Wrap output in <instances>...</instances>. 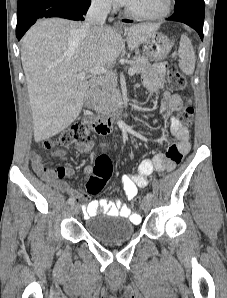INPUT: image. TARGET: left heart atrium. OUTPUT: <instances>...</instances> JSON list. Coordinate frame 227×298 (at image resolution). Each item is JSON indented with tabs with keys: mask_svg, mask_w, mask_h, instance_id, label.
Instances as JSON below:
<instances>
[{
	"mask_svg": "<svg viewBox=\"0 0 227 298\" xmlns=\"http://www.w3.org/2000/svg\"><path fill=\"white\" fill-rule=\"evenodd\" d=\"M118 3L122 4V5H128L130 3V0H115Z\"/></svg>",
	"mask_w": 227,
	"mask_h": 298,
	"instance_id": "obj_1",
	"label": "left heart atrium"
}]
</instances>
